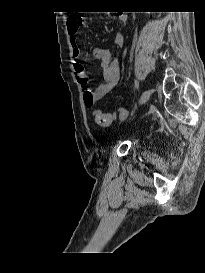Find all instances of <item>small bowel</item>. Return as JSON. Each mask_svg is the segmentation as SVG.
<instances>
[{
  "mask_svg": "<svg viewBox=\"0 0 205 273\" xmlns=\"http://www.w3.org/2000/svg\"><path fill=\"white\" fill-rule=\"evenodd\" d=\"M82 25L84 27L87 26L85 22H82ZM79 29L80 27L77 24L76 17H71L68 20V33L72 45V55L76 60H79L84 56L81 47L76 41V35ZM124 41V36L121 34H117L114 38V44L116 46L123 45ZM92 55L100 62L104 80L94 90H91L87 85V77L83 65L81 63H76L74 65L76 77L83 88V99L87 108L94 107L98 101L110 93L118 85L120 79L118 63L113 59L109 49L95 47L92 51Z\"/></svg>",
  "mask_w": 205,
  "mask_h": 273,
  "instance_id": "small-bowel-1",
  "label": "small bowel"
}]
</instances>
